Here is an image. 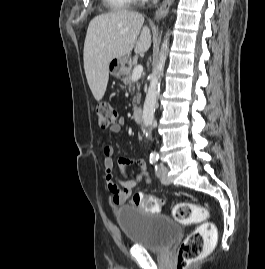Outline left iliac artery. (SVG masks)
<instances>
[{
  "label": "left iliac artery",
  "mask_w": 265,
  "mask_h": 269,
  "mask_svg": "<svg viewBox=\"0 0 265 269\" xmlns=\"http://www.w3.org/2000/svg\"><path fill=\"white\" fill-rule=\"evenodd\" d=\"M155 169H156V171L158 170V167H157V165L155 166Z\"/></svg>",
  "instance_id": "1"
}]
</instances>
